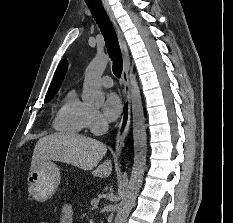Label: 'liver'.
I'll use <instances>...</instances> for the list:
<instances>
[{"mask_svg": "<svg viewBox=\"0 0 233 223\" xmlns=\"http://www.w3.org/2000/svg\"><path fill=\"white\" fill-rule=\"evenodd\" d=\"M107 145L79 135V133H50L38 139L32 155L31 169L40 159H53V161H63L70 163L79 169H92V175L95 177H109L113 169L111 159H105Z\"/></svg>", "mask_w": 233, "mask_h": 223, "instance_id": "obj_1", "label": "liver"}]
</instances>
